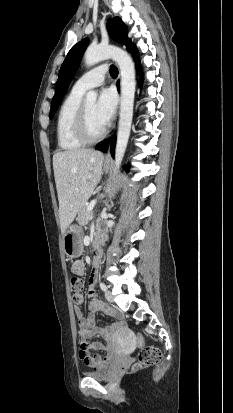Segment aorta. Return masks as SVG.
I'll list each match as a JSON object with an SVG mask.
<instances>
[{
	"instance_id": "obj_1",
	"label": "aorta",
	"mask_w": 233,
	"mask_h": 413,
	"mask_svg": "<svg viewBox=\"0 0 233 413\" xmlns=\"http://www.w3.org/2000/svg\"><path fill=\"white\" fill-rule=\"evenodd\" d=\"M84 59L88 66H92L102 60L113 59L120 68L121 102L114 159V172H117L122 164L131 131L136 86L134 64L126 51L110 45L88 47L85 51ZM96 100V92L89 91L86 94V102L88 104H94Z\"/></svg>"
}]
</instances>
